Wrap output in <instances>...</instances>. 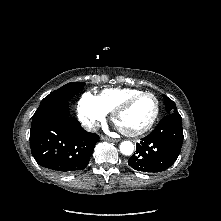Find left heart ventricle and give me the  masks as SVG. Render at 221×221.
I'll return each instance as SVG.
<instances>
[{"label":"left heart ventricle","instance_id":"obj_1","mask_svg":"<svg viewBox=\"0 0 221 221\" xmlns=\"http://www.w3.org/2000/svg\"><path fill=\"white\" fill-rule=\"evenodd\" d=\"M155 106L153 97L139 98L118 116L119 127L126 131H136L144 127L153 117Z\"/></svg>","mask_w":221,"mask_h":221}]
</instances>
